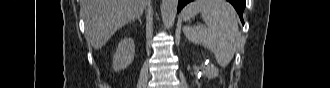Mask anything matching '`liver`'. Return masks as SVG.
I'll return each instance as SVG.
<instances>
[{"instance_id":"6515ba94","label":"liver","mask_w":330,"mask_h":88,"mask_svg":"<svg viewBox=\"0 0 330 88\" xmlns=\"http://www.w3.org/2000/svg\"><path fill=\"white\" fill-rule=\"evenodd\" d=\"M147 0H81L86 39L100 49L129 21L142 15Z\"/></svg>"}]
</instances>
